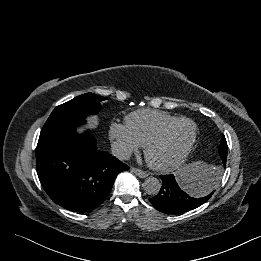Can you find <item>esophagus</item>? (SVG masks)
<instances>
[{
  "label": "esophagus",
  "instance_id": "1",
  "mask_svg": "<svg viewBox=\"0 0 261 261\" xmlns=\"http://www.w3.org/2000/svg\"><path fill=\"white\" fill-rule=\"evenodd\" d=\"M131 171H132L134 174H136L138 177H140V178H145V177L148 176V174H147L145 171H143V170H141V169H139V168L132 167V168H131Z\"/></svg>",
  "mask_w": 261,
  "mask_h": 261
}]
</instances>
